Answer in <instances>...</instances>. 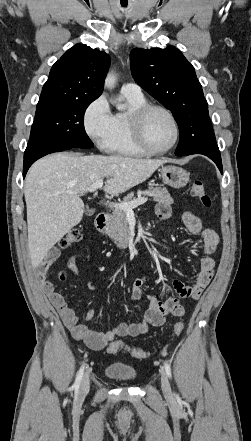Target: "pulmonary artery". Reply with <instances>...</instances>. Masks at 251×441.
Returning a JSON list of instances; mask_svg holds the SVG:
<instances>
[{
  "instance_id": "obj_1",
  "label": "pulmonary artery",
  "mask_w": 251,
  "mask_h": 441,
  "mask_svg": "<svg viewBox=\"0 0 251 441\" xmlns=\"http://www.w3.org/2000/svg\"><path fill=\"white\" fill-rule=\"evenodd\" d=\"M121 92L133 95H142L141 87L133 82L124 83L121 87Z\"/></svg>"
}]
</instances>
